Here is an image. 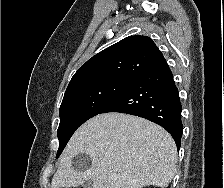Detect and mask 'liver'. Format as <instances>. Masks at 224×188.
Masks as SVG:
<instances>
[{"instance_id":"obj_1","label":"liver","mask_w":224,"mask_h":188,"mask_svg":"<svg viewBox=\"0 0 224 188\" xmlns=\"http://www.w3.org/2000/svg\"><path fill=\"white\" fill-rule=\"evenodd\" d=\"M80 153L92 161L83 170L72 166ZM176 162V144L161 126L133 115L105 113L73 134L51 187H77L91 179L93 188H166L175 175Z\"/></svg>"}]
</instances>
